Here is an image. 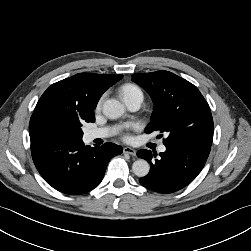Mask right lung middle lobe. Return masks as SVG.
Returning a JSON list of instances; mask_svg holds the SVG:
<instances>
[{
	"instance_id": "1",
	"label": "right lung middle lobe",
	"mask_w": 251,
	"mask_h": 251,
	"mask_svg": "<svg viewBox=\"0 0 251 251\" xmlns=\"http://www.w3.org/2000/svg\"><path fill=\"white\" fill-rule=\"evenodd\" d=\"M94 121V120H93ZM82 123L79 119L71 123L60 122L55 126L54 141L64 142L70 140H80L83 136Z\"/></svg>"
}]
</instances>
